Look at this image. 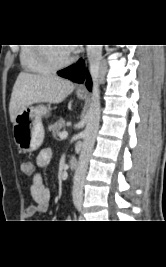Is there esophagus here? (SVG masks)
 I'll list each match as a JSON object with an SVG mask.
<instances>
[{
  "mask_svg": "<svg viewBox=\"0 0 166 267\" xmlns=\"http://www.w3.org/2000/svg\"><path fill=\"white\" fill-rule=\"evenodd\" d=\"M78 90L79 91H85L86 90V88H85V84L83 83V84H80L79 86H78Z\"/></svg>",
  "mask_w": 166,
  "mask_h": 267,
  "instance_id": "1",
  "label": "esophagus"
}]
</instances>
